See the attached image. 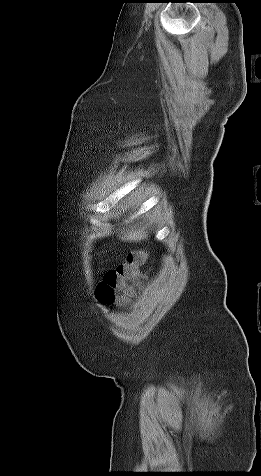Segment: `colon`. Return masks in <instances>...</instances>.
Instances as JSON below:
<instances>
[{
	"mask_svg": "<svg viewBox=\"0 0 261 476\" xmlns=\"http://www.w3.org/2000/svg\"><path fill=\"white\" fill-rule=\"evenodd\" d=\"M145 258L143 251L132 252L123 264L107 272L98 287L100 299L106 304L125 305L141 278Z\"/></svg>",
	"mask_w": 261,
	"mask_h": 476,
	"instance_id": "1",
	"label": "colon"
}]
</instances>
